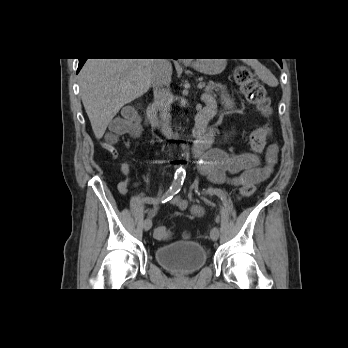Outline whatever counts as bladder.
I'll return each instance as SVG.
<instances>
[{"label":"bladder","mask_w":348,"mask_h":348,"mask_svg":"<svg viewBox=\"0 0 348 348\" xmlns=\"http://www.w3.org/2000/svg\"><path fill=\"white\" fill-rule=\"evenodd\" d=\"M157 262L169 272L188 275L199 270L207 261L209 252L201 244L175 241L155 249Z\"/></svg>","instance_id":"31cf9c89"}]
</instances>
